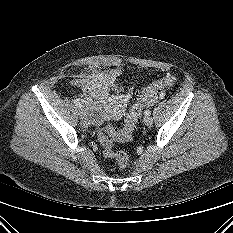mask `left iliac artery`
<instances>
[{"label":"left iliac artery","instance_id":"obj_1","mask_svg":"<svg viewBox=\"0 0 233 233\" xmlns=\"http://www.w3.org/2000/svg\"><path fill=\"white\" fill-rule=\"evenodd\" d=\"M150 114H151V111H150V110H146V111H145V115L148 116V115H150Z\"/></svg>","mask_w":233,"mask_h":233}]
</instances>
